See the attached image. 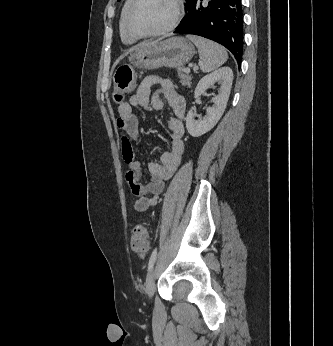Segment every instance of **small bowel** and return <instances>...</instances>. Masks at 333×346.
<instances>
[{
  "mask_svg": "<svg viewBox=\"0 0 333 346\" xmlns=\"http://www.w3.org/2000/svg\"><path fill=\"white\" fill-rule=\"evenodd\" d=\"M158 85L152 94L151 88ZM165 103L171 114L168 117V128L171 131V148L161 154L159 161H151L148 171L150 182H141V166L136 160L132 142L139 144L138 118L133 107L146 108L150 104L156 110H162ZM186 102L170 80L157 76H148L138 86L136 92L126 102L118 106V127L122 132L121 150L128 167L126 180L131 192L137 197L134 208L139 212H147L153 208L160 198L165 182L169 180L180 165L184 153V125Z\"/></svg>",
  "mask_w": 333,
  "mask_h": 346,
  "instance_id": "small-bowel-1",
  "label": "small bowel"
}]
</instances>
